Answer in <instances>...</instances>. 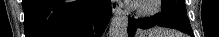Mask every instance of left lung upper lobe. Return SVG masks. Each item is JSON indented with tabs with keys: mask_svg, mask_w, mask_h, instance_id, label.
<instances>
[{
	"mask_svg": "<svg viewBox=\"0 0 219 37\" xmlns=\"http://www.w3.org/2000/svg\"><path fill=\"white\" fill-rule=\"evenodd\" d=\"M161 15L177 23L186 30L192 31L187 17L185 0H162Z\"/></svg>",
	"mask_w": 219,
	"mask_h": 37,
	"instance_id": "left-lung-upper-lobe-1",
	"label": "left lung upper lobe"
}]
</instances>
